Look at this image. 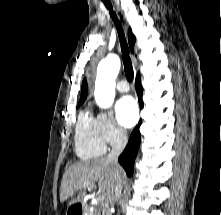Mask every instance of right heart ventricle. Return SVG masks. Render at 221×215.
I'll return each instance as SVG.
<instances>
[{"mask_svg": "<svg viewBox=\"0 0 221 215\" xmlns=\"http://www.w3.org/2000/svg\"><path fill=\"white\" fill-rule=\"evenodd\" d=\"M105 144L97 133L95 118L81 112L75 129V150L82 160L99 157L105 152Z\"/></svg>", "mask_w": 221, "mask_h": 215, "instance_id": "e07e8e85", "label": "right heart ventricle"}]
</instances>
